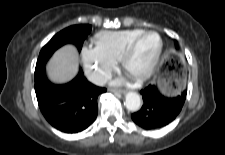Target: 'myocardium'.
<instances>
[{"mask_svg": "<svg viewBox=\"0 0 225 155\" xmlns=\"http://www.w3.org/2000/svg\"><path fill=\"white\" fill-rule=\"evenodd\" d=\"M151 34L156 35L158 37L159 47H158V50H157L153 60L151 61L150 65L148 66V68L143 73L133 76L138 81H144V80L148 79L154 73L156 67L158 66L159 61L162 56L163 47H164V42H163L161 35L158 32L153 31V30H146V31L141 32L140 34H138L136 37H134L128 43V45L125 47L124 51L122 52V55L119 60L122 68L127 71L128 61L134 54L139 42L145 36L151 35Z\"/></svg>", "mask_w": 225, "mask_h": 155, "instance_id": "obj_1", "label": "myocardium"}]
</instances>
